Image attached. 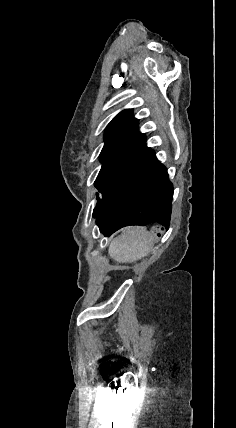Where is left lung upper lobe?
<instances>
[{
  "mask_svg": "<svg viewBox=\"0 0 236 428\" xmlns=\"http://www.w3.org/2000/svg\"><path fill=\"white\" fill-rule=\"evenodd\" d=\"M104 140L100 154L102 167L95 181L101 193L112 190L141 152L146 138L138 131V120L132 116V110L126 109L108 124Z\"/></svg>",
  "mask_w": 236,
  "mask_h": 428,
  "instance_id": "obj_1",
  "label": "left lung upper lobe"
}]
</instances>
